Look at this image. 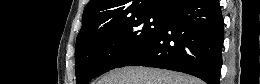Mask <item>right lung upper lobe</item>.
I'll return each mask as SVG.
<instances>
[{
	"label": "right lung upper lobe",
	"instance_id": "right-lung-upper-lobe-1",
	"mask_svg": "<svg viewBox=\"0 0 260 84\" xmlns=\"http://www.w3.org/2000/svg\"><path fill=\"white\" fill-rule=\"evenodd\" d=\"M186 0H90L84 9L83 25L77 42L89 38L90 34L108 22H117L141 13H165Z\"/></svg>",
	"mask_w": 260,
	"mask_h": 84
}]
</instances>
